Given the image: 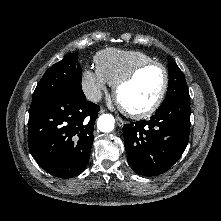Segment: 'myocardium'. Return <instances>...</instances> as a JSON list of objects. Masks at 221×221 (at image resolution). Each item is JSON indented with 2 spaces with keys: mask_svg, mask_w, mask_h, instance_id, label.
<instances>
[{
  "mask_svg": "<svg viewBox=\"0 0 221 221\" xmlns=\"http://www.w3.org/2000/svg\"><path fill=\"white\" fill-rule=\"evenodd\" d=\"M149 67H158V68H160L162 70L163 76H164V80H163L161 90H160L159 94L157 95L156 99L154 100V102L150 106H148L147 108L142 109V110H130V109L124 107L118 99V95H119L120 90L125 85L132 82L142 70H144L146 68H149ZM168 86H169V73H168L167 68L160 62L147 61V62H143V63L135 66L131 71H129L125 76H123L115 84L114 98L116 99V101L120 105L122 111L124 113H126L128 116L133 117V118H145V117H148V116L152 115L160 107V105L162 104V102L165 98V95L167 93Z\"/></svg>",
  "mask_w": 221,
  "mask_h": 221,
  "instance_id": "f54148a6",
  "label": "myocardium"
}]
</instances>
